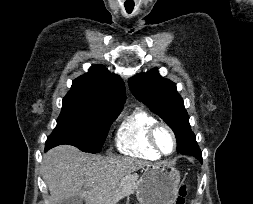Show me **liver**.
Listing matches in <instances>:
<instances>
[{"label": "liver", "mask_w": 253, "mask_h": 204, "mask_svg": "<svg viewBox=\"0 0 253 204\" xmlns=\"http://www.w3.org/2000/svg\"><path fill=\"white\" fill-rule=\"evenodd\" d=\"M147 165L134 157L91 155L60 145L44 155L42 168L50 204L76 196L85 204H115L119 180Z\"/></svg>", "instance_id": "1"}]
</instances>
